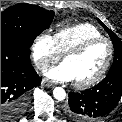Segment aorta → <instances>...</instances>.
I'll use <instances>...</instances> for the list:
<instances>
[{
	"label": "aorta",
	"mask_w": 122,
	"mask_h": 122,
	"mask_svg": "<svg viewBox=\"0 0 122 122\" xmlns=\"http://www.w3.org/2000/svg\"><path fill=\"white\" fill-rule=\"evenodd\" d=\"M53 96L56 100H59V101H62L65 99L66 97V92L63 88L61 87H56L54 90H53Z\"/></svg>",
	"instance_id": "762f6f07"
}]
</instances>
